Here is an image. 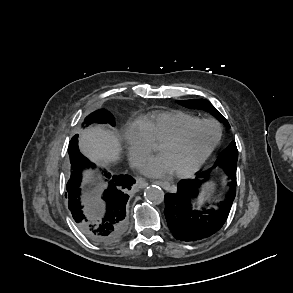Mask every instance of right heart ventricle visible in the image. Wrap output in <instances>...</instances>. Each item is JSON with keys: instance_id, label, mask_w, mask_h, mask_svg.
<instances>
[{"instance_id": "1", "label": "right heart ventricle", "mask_w": 293, "mask_h": 293, "mask_svg": "<svg viewBox=\"0 0 293 293\" xmlns=\"http://www.w3.org/2000/svg\"><path fill=\"white\" fill-rule=\"evenodd\" d=\"M196 119V116L180 110L155 111L144 117L140 124L151 141L159 144Z\"/></svg>"}]
</instances>
